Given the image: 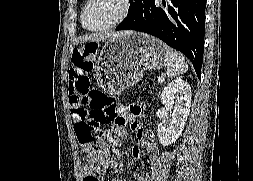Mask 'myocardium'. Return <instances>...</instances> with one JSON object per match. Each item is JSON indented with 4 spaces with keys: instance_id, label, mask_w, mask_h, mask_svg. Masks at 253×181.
Here are the masks:
<instances>
[{
    "instance_id": "f54148a6",
    "label": "myocardium",
    "mask_w": 253,
    "mask_h": 181,
    "mask_svg": "<svg viewBox=\"0 0 253 181\" xmlns=\"http://www.w3.org/2000/svg\"><path fill=\"white\" fill-rule=\"evenodd\" d=\"M91 2L92 0H86L81 11V24L84 29L90 32H102V31H105V30H108L120 25L129 16L132 9V0H122V10L120 14L107 25L94 29V28L88 27L85 24V13H86L87 7L89 6Z\"/></svg>"
}]
</instances>
